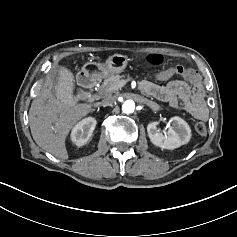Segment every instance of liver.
<instances>
[{"instance_id": "liver-1", "label": "liver", "mask_w": 237, "mask_h": 237, "mask_svg": "<svg viewBox=\"0 0 237 237\" xmlns=\"http://www.w3.org/2000/svg\"><path fill=\"white\" fill-rule=\"evenodd\" d=\"M90 111V105L67 106L50 93L43 92L32 101L29 111L32 137L42 149L68 159L65 139L70 129Z\"/></svg>"}]
</instances>
